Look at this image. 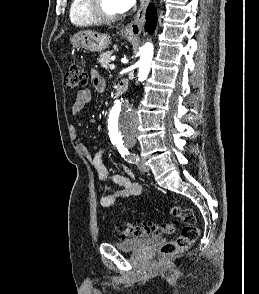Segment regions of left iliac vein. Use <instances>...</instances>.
Segmentation results:
<instances>
[{
	"instance_id": "left-iliac-vein-1",
	"label": "left iliac vein",
	"mask_w": 259,
	"mask_h": 294,
	"mask_svg": "<svg viewBox=\"0 0 259 294\" xmlns=\"http://www.w3.org/2000/svg\"><path fill=\"white\" fill-rule=\"evenodd\" d=\"M137 162H136V165L138 167V169L142 172H148L149 171V168L148 166L144 163V161L140 158V157H137Z\"/></svg>"
}]
</instances>
